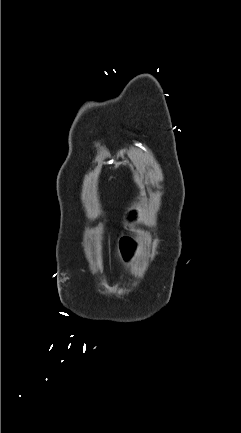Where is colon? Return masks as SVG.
I'll return each instance as SVG.
<instances>
[{
  "label": "colon",
  "mask_w": 241,
  "mask_h": 433,
  "mask_svg": "<svg viewBox=\"0 0 241 433\" xmlns=\"http://www.w3.org/2000/svg\"><path fill=\"white\" fill-rule=\"evenodd\" d=\"M140 187L142 189H145L147 187V184L145 182H142L140 184ZM131 206L133 208H137L139 206V203L137 201H133L131 203ZM127 213H130V210H127ZM136 218L138 220H141L143 218V215L141 213H138L136 215ZM125 223L127 225H130L132 223V220L130 218H127L125 220ZM103 236L106 238L104 240V245L107 247V249H110L113 252H116V254H119L121 257H129L131 255V252H135L137 250V245L135 239H132L131 234H122L121 238H117L119 236V233L117 230H108L103 233ZM112 251H109V254H112Z\"/></svg>",
  "instance_id": "5ec220e1"
}]
</instances>
